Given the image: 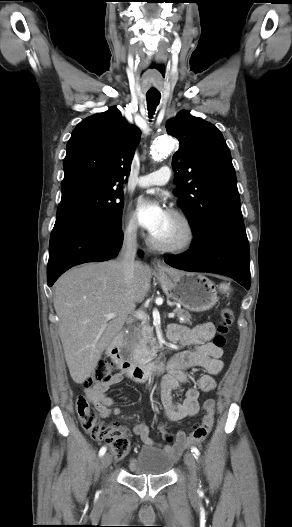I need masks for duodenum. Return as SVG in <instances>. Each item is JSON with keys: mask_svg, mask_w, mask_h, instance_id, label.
<instances>
[{"mask_svg": "<svg viewBox=\"0 0 292 527\" xmlns=\"http://www.w3.org/2000/svg\"><path fill=\"white\" fill-rule=\"evenodd\" d=\"M121 340L122 334H118L109 345L108 353L130 378L145 382L164 371L165 366L162 361L137 364L124 358L120 349Z\"/></svg>", "mask_w": 292, "mask_h": 527, "instance_id": "410a0bca", "label": "duodenum"}]
</instances>
